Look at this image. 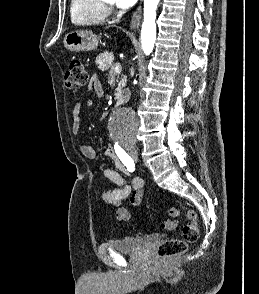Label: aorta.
Wrapping results in <instances>:
<instances>
[{"mask_svg": "<svg viewBox=\"0 0 259 294\" xmlns=\"http://www.w3.org/2000/svg\"><path fill=\"white\" fill-rule=\"evenodd\" d=\"M159 0H144V20L141 29V44L144 54L149 55L156 40V9ZM137 115L127 109L117 110L112 117L110 131L117 139L133 138L138 127Z\"/></svg>", "mask_w": 259, "mask_h": 294, "instance_id": "obj_1", "label": "aorta"}]
</instances>
